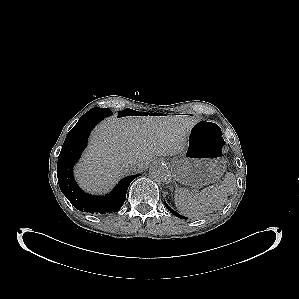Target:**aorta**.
I'll return each instance as SVG.
<instances>
[{"label":"aorta","mask_w":299,"mask_h":299,"mask_svg":"<svg viewBox=\"0 0 299 299\" xmlns=\"http://www.w3.org/2000/svg\"><path fill=\"white\" fill-rule=\"evenodd\" d=\"M149 175L157 182H165L170 176V171L164 164L158 163L149 169Z\"/></svg>","instance_id":"762f6f07"}]
</instances>
